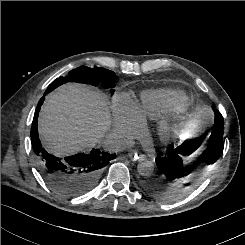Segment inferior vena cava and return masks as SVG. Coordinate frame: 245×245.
Instances as JSON below:
<instances>
[{
  "instance_id": "602c4592",
  "label": "inferior vena cava",
  "mask_w": 245,
  "mask_h": 245,
  "mask_svg": "<svg viewBox=\"0 0 245 245\" xmlns=\"http://www.w3.org/2000/svg\"><path fill=\"white\" fill-rule=\"evenodd\" d=\"M134 142L125 137H116L113 135H108L106 139L103 141V146L108 151H121L128 147H131Z\"/></svg>"
}]
</instances>
